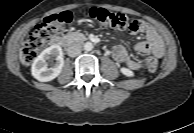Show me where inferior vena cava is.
I'll list each match as a JSON object with an SVG mask.
<instances>
[{
	"label": "inferior vena cava",
	"instance_id": "1",
	"mask_svg": "<svg viewBox=\"0 0 194 133\" xmlns=\"http://www.w3.org/2000/svg\"><path fill=\"white\" fill-rule=\"evenodd\" d=\"M81 53V48L79 46H70L67 48V54L70 57H76Z\"/></svg>",
	"mask_w": 194,
	"mask_h": 133
}]
</instances>
